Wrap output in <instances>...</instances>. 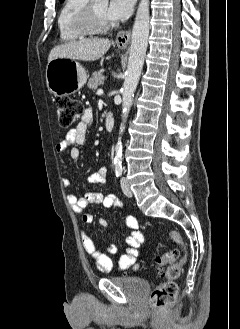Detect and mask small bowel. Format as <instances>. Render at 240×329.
<instances>
[{
    "label": "small bowel",
    "mask_w": 240,
    "mask_h": 329,
    "mask_svg": "<svg viewBox=\"0 0 240 329\" xmlns=\"http://www.w3.org/2000/svg\"><path fill=\"white\" fill-rule=\"evenodd\" d=\"M93 120V110L88 107L84 109L81 119L76 127L70 129L65 138L56 144L55 151L57 154H62L66 150H69V156L73 160H78L81 157V153L76 145H83L86 141L87 129ZM65 186L70 184L68 178L62 180ZM107 182V168L101 167L95 173L87 178L88 184H101L104 185ZM68 202L71 205L73 211L81 215V220L84 223H91L93 221L92 213L85 211V208L89 204H102L107 208H117L123 205V202L114 194L104 195L98 191H90L80 197L76 194H69L67 196ZM99 225L107 227V222L104 219H99ZM125 224L130 230L129 236L126 237V249L125 253L117 260L116 266L119 270H138L140 267L139 261V247L144 241V235L140 230L138 220L131 215L125 217ZM81 244L89 256L90 261L101 272H109L114 267L112 259L104 252L98 249V245L93 241L89 234L85 231L81 232ZM105 250L109 254H115L117 247L114 244H109L105 247Z\"/></svg>",
    "instance_id": "1"
}]
</instances>
